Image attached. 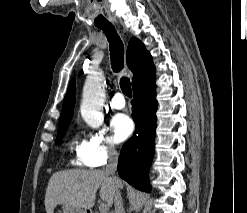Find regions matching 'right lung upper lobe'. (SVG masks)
Returning <instances> with one entry per match:
<instances>
[{"label": "right lung upper lobe", "mask_w": 247, "mask_h": 213, "mask_svg": "<svg viewBox=\"0 0 247 213\" xmlns=\"http://www.w3.org/2000/svg\"><path fill=\"white\" fill-rule=\"evenodd\" d=\"M127 65L134 74L132 86L155 74V67L153 65L152 57L150 53L146 51L144 44L137 38H132L128 43ZM75 92V80L72 79L63 101L59 126L69 124L71 121L75 104Z\"/></svg>", "instance_id": "obj_1"}]
</instances>
